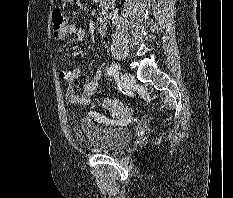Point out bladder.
<instances>
[{
    "mask_svg": "<svg viewBox=\"0 0 233 198\" xmlns=\"http://www.w3.org/2000/svg\"><path fill=\"white\" fill-rule=\"evenodd\" d=\"M80 140L100 153H117L132 140V131L127 127H102L91 122H83Z\"/></svg>",
    "mask_w": 233,
    "mask_h": 198,
    "instance_id": "1",
    "label": "bladder"
}]
</instances>
